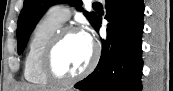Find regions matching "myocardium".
Masks as SVG:
<instances>
[{
    "label": "myocardium",
    "mask_w": 173,
    "mask_h": 91,
    "mask_svg": "<svg viewBox=\"0 0 173 91\" xmlns=\"http://www.w3.org/2000/svg\"><path fill=\"white\" fill-rule=\"evenodd\" d=\"M72 33H82V31L74 26H63L56 33L52 35L47 44L44 47V50L40 58V70L42 75L54 85H68L76 81H79L86 76H88L96 67L100 51L98 46L91 42L92 47V56L89 64L78 74L72 76H60L53 69V57L58 45L61 41Z\"/></svg>",
    "instance_id": "f54148a6"
}]
</instances>
